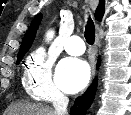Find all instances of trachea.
Listing matches in <instances>:
<instances>
[{
  "label": "trachea",
  "instance_id": "3493384b",
  "mask_svg": "<svg viewBox=\"0 0 131 115\" xmlns=\"http://www.w3.org/2000/svg\"><path fill=\"white\" fill-rule=\"evenodd\" d=\"M85 39L88 44L93 45L95 41V25L91 18L88 19L85 28Z\"/></svg>",
  "mask_w": 131,
  "mask_h": 115
}]
</instances>
